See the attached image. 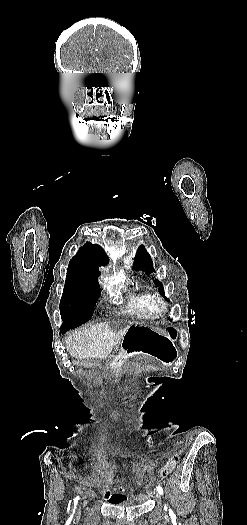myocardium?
Here are the masks:
<instances>
[{
  "mask_svg": "<svg viewBox=\"0 0 247 525\" xmlns=\"http://www.w3.org/2000/svg\"><path fill=\"white\" fill-rule=\"evenodd\" d=\"M146 296L148 300L149 312L155 316L162 315L167 308V304L163 296L157 292H147Z\"/></svg>",
  "mask_w": 247,
  "mask_h": 525,
  "instance_id": "obj_1",
  "label": "myocardium"
}]
</instances>
